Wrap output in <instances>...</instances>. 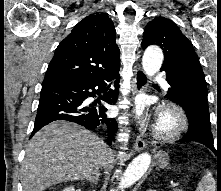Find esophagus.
<instances>
[{"label":"esophagus","instance_id":"esophagus-1","mask_svg":"<svg viewBox=\"0 0 221 191\" xmlns=\"http://www.w3.org/2000/svg\"><path fill=\"white\" fill-rule=\"evenodd\" d=\"M147 83L148 78L145 71L140 66L136 67L133 81V95L143 92L147 87ZM145 146L146 141L138 135L134 144V150L136 152H140L145 148Z\"/></svg>","mask_w":221,"mask_h":191}]
</instances>
